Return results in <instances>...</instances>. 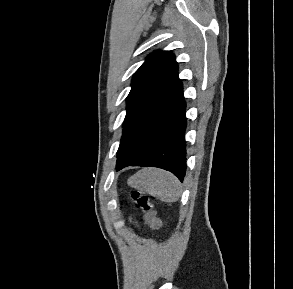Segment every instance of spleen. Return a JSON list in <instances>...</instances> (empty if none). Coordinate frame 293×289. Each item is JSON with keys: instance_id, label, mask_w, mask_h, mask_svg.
Wrapping results in <instances>:
<instances>
[{"instance_id": "1", "label": "spleen", "mask_w": 293, "mask_h": 289, "mask_svg": "<svg viewBox=\"0 0 293 289\" xmlns=\"http://www.w3.org/2000/svg\"><path fill=\"white\" fill-rule=\"evenodd\" d=\"M128 185L165 202H176L181 196L177 178L169 172L146 168L128 179Z\"/></svg>"}]
</instances>
